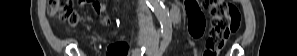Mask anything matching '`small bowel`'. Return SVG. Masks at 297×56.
Here are the masks:
<instances>
[{
    "mask_svg": "<svg viewBox=\"0 0 297 56\" xmlns=\"http://www.w3.org/2000/svg\"><path fill=\"white\" fill-rule=\"evenodd\" d=\"M186 12L189 16V33L193 38H199L204 32V18L200 11L199 5L194 0L187 1ZM126 54L127 47L124 44H114L108 48L107 56H115L117 53Z\"/></svg>",
    "mask_w": 297,
    "mask_h": 56,
    "instance_id": "c3829d8e",
    "label": "small bowel"
}]
</instances>
